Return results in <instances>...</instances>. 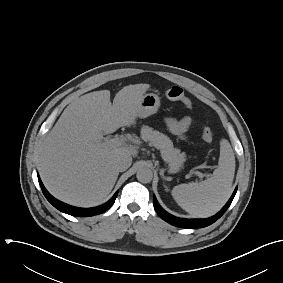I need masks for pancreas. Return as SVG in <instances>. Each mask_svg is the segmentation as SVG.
Here are the masks:
<instances>
[{
  "instance_id": "1",
  "label": "pancreas",
  "mask_w": 283,
  "mask_h": 283,
  "mask_svg": "<svg viewBox=\"0 0 283 283\" xmlns=\"http://www.w3.org/2000/svg\"><path fill=\"white\" fill-rule=\"evenodd\" d=\"M141 138L152 146L160 149L162 158L168 163L172 171H177L185 160V154L173 147L172 141L166 135L148 126L141 129Z\"/></svg>"
}]
</instances>
